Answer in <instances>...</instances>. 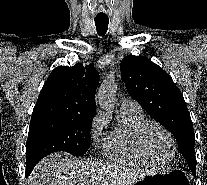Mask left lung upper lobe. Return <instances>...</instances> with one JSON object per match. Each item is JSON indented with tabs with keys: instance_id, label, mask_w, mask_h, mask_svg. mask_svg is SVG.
<instances>
[{
	"instance_id": "left-lung-upper-lobe-1",
	"label": "left lung upper lobe",
	"mask_w": 207,
	"mask_h": 185,
	"mask_svg": "<svg viewBox=\"0 0 207 185\" xmlns=\"http://www.w3.org/2000/svg\"><path fill=\"white\" fill-rule=\"evenodd\" d=\"M120 69L129 95L174 135L190 170H195L193 124L184 97L171 76L145 56H126Z\"/></svg>"
}]
</instances>
